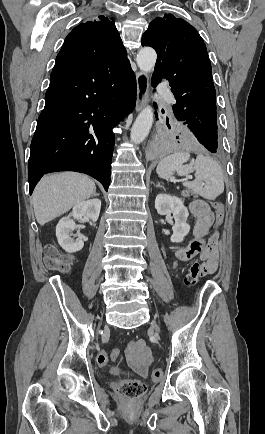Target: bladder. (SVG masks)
<instances>
[{
	"instance_id": "1",
	"label": "bladder",
	"mask_w": 265,
	"mask_h": 434,
	"mask_svg": "<svg viewBox=\"0 0 265 434\" xmlns=\"http://www.w3.org/2000/svg\"><path fill=\"white\" fill-rule=\"evenodd\" d=\"M111 373L118 374V373H120V370L118 368L113 367V368H111Z\"/></svg>"
}]
</instances>
